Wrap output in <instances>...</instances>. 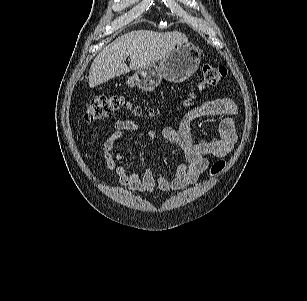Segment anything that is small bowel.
<instances>
[{
  "mask_svg": "<svg viewBox=\"0 0 307 301\" xmlns=\"http://www.w3.org/2000/svg\"><path fill=\"white\" fill-rule=\"evenodd\" d=\"M238 108L230 98L203 100L197 107L190 110L183 117L178 128L165 127L160 133L153 129L140 130V126L133 120H118L113 125L112 133L102 142V153L107 168L115 171L119 183L124 188L136 192H151L156 187L163 192L181 190L198 180L209 165V157H222L230 153L236 142L233 115ZM226 115L219 124V138L195 142L192 135L194 121L204 117ZM154 141L159 137L177 147L183 162L169 179L163 172L147 169L144 173L129 172L123 163L122 152L112 156L114 146L126 136Z\"/></svg>",
  "mask_w": 307,
  "mask_h": 301,
  "instance_id": "1",
  "label": "small bowel"
}]
</instances>
